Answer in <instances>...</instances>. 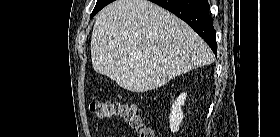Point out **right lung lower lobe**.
<instances>
[{"label":"right lung lower lobe","instance_id":"right-lung-lower-lobe-1","mask_svg":"<svg viewBox=\"0 0 280 137\" xmlns=\"http://www.w3.org/2000/svg\"><path fill=\"white\" fill-rule=\"evenodd\" d=\"M184 20L217 54L216 32L208 0H150Z\"/></svg>","mask_w":280,"mask_h":137}]
</instances>
